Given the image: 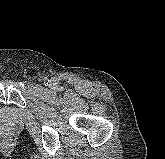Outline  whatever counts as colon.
Returning <instances> with one entry per match:
<instances>
[{
    "label": "colon",
    "instance_id": "5ec220e1",
    "mask_svg": "<svg viewBox=\"0 0 165 159\" xmlns=\"http://www.w3.org/2000/svg\"><path fill=\"white\" fill-rule=\"evenodd\" d=\"M3 140L5 141H10V135H4Z\"/></svg>",
    "mask_w": 165,
    "mask_h": 159
}]
</instances>
